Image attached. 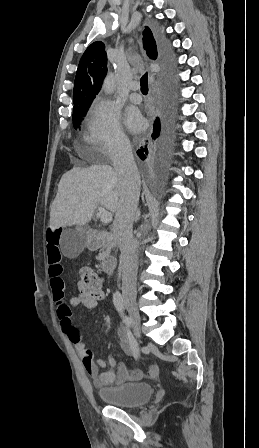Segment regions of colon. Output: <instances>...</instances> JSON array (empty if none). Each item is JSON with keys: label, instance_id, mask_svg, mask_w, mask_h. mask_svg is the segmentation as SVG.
Listing matches in <instances>:
<instances>
[{"label": "colon", "instance_id": "1", "mask_svg": "<svg viewBox=\"0 0 259 448\" xmlns=\"http://www.w3.org/2000/svg\"><path fill=\"white\" fill-rule=\"evenodd\" d=\"M103 283V278L94 269H83L78 280V292L84 295H97L102 292Z\"/></svg>", "mask_w": 259, "mask_h": 448}]
</instances>
